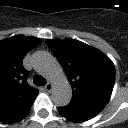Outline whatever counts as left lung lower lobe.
<instances>
[{
  "mask_svg": "<svg viewBox=\"0 0 128 128\" xmlns=\"http://www.w3.org/2000/svg\"><path fill=\"white\" fill-rule=\"evenodd\" d=\"M105 105L91 102L71 101L66 107H59V113L74 122H84L99 114Z\"/></svg>",
  "mask_w": 128,
  "mask_h": 128,
  "instance_id": "left-lung-lower-lobe-1",
  "label": "left lung lower lobe"
}]
</instances>
